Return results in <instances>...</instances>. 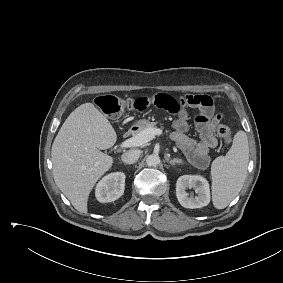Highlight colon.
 Wrapping results in <instances>:
<instances>
[{"label": "colon", "instance_id": "5ec220e1", "mask_svg": "<svg viewBox=\"0 0 283 283\" xmlns=\"http://www.w3.org/2000/svg\"><path fill=\"white\" fill-rule=\"evenodd\" d=\"M95 102L103 113L111 117H117L127 110H132L134 106L133 99H122L114 96H101ZM216 131L224 143H231L232 132L227 124L219 122Z\"/></svg>", "mask_w": 283, "mask_h": 283}]
</instances>
